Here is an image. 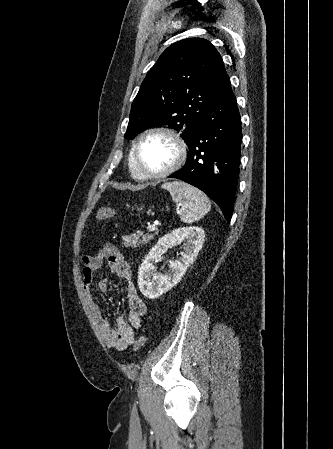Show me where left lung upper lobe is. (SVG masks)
I'll return each mask as SVG.
<instances>
[{
  "mask_svg": "<svg viewBox=\"0 0 333 449\" xmlns=\"http://www.w3.org/2000/svg\"><path fill=\"white\" fill-rule=\"evenodd\" d=\"M228 81L223 60L208 40L189 38L172 44L143 80L125 138L165 125L180 132L189 147L207 107Z\"/></svg>",
  "mask_w": 333,
  "mask_h": 449,
  "instance_id": "obj_1",
  "label": "left lung upper lobe"
}]
</instances>
